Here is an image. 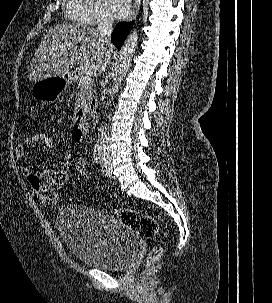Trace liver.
Returning <instances> with one entry per match:
<instances>
[{
    "instance_id": "liver-1",
    "label": "liver",
    "mask_w": 272,
    "mask_h": 303,
    "mask_svg": "<svg viewBox=\"0 0 272 303\" xmlns=\"http://www.w3.org/2000/svg\"><path fill=\"white\" fill-rule=\"evenodd\" d=\"M113 51L111 43H105L97 29L63 23L50 29L38 46L28 78L37 82L50 77H65L78 65L80 74L100 75Z\"/></svg>"
}]
</instances>
